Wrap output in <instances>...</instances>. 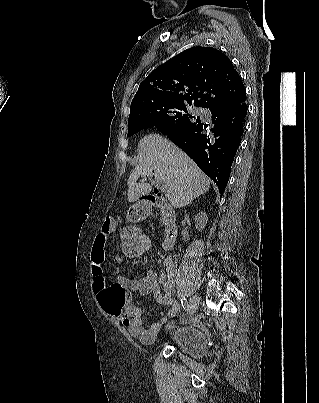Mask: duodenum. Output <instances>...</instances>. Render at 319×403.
I'll use <instances>...</instances> for the list:
<instances>
[{"label": "duodenum", "mask_w": 319, "mask_h": 403, "mask_svg": "<svg viewBox=\"0 0 319 403\" xmlns=\"http://www.w3.org/2000/svg\"><path fill=\"white\" fill-rule=\"evenodd\" d=\"M142 199V202L136 207V215L139 218H144L149 214L152 208H160L164 222L163 247L170 249L174 245L175 237L178 232L177 216L174 208L165 199L161 191H155Z\"/></svg>", "instance_id": "1"}]
</instances>
